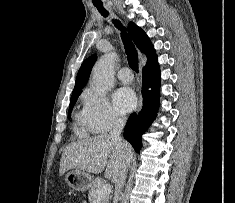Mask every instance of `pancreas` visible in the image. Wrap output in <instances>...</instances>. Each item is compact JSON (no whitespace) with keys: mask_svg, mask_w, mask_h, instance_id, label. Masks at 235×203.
Listing matches in <instances>:
<instances>
[{"mask_svg":"<svg viewBox=\"0 0 235 203\" xmlns=\"http://www.w3.org/2000/svg\"><path fill=\"white\" fill-rule=\"evenodd\" d=\"M106 182L101 179V178H96L94 181H93V184L89 190V195H88V198H89V201L91 203H109V195L107 196H104L102 197L101 199H98L96 197V193L99 189L102 188L103 185H105Z\"/></svg>","mask_w":235,"mask_h":203,"instance_id":"obj_1","label":"pancreas"}]
</instances>
